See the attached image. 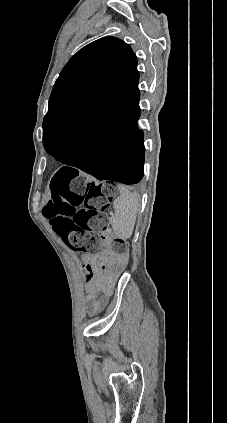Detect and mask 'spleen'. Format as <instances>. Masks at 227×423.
Masks as SVG:
<instances>
[{
    "label": "spleen",
    "instance_id": "1",
    "mask_svg": "<svg viewBox=\"0 0 227 423\" xmlns=\"http://www.w3.org/2000/svg\"><path fill=\"white\" fill-rule=\"evenodd\" d=\"M120 196L113 202L114 213L110 217L115 235L121 239L131 237L140 210V200L135 194L128 192L124 186H118Z\"/></svg>",
    "mask_w": 227,
    "mask_h": 423
}]
</instances>
